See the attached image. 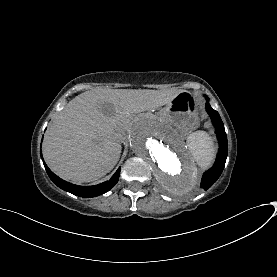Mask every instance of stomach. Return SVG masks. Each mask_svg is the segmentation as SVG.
<instances>
[{
  "mask_svg": "<svg viewBox=\"0 0 277 277\" xmlns=\"http://www.w3.org/2000/svg\"><path fill=\"white\" fill-rule=\"evenodd\" d=\"M198 109L196 98L188 91H182L161 109L159 116L187 135L199 126Z\"/></svg>",
  "mask_w": 277,
  "mask_h": 277,
  "instance_id": "0dacf381",
  "label": "stomach"
}]
</instances>
